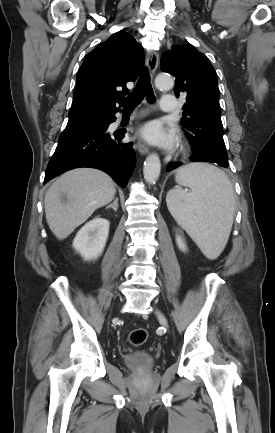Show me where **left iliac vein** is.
Wrapping results in <instances>:
<instances>
[{"instance_id": "4c4485c4", "label": "left iliac vein", "mask_w": 275, "mask_h": 433, "mask_svg": "<svg viewBox=\"0 0 275 433\" xmlns=\"http://www.w3.org/2000/svg\"><path fill=\"white\" fill-rule=\"evenodd\" d=\"M156 315L158 317L160 324L164 328H168V322H167V319L165 318V316L163 315V313L160 310H156Z\"/></svg>"}]
</instances>
